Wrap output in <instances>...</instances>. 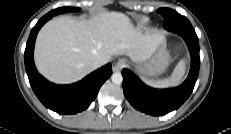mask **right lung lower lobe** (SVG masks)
<instances>
[{
  "instance_id": "obj_1",
  "label": "right lung lower lobe",
  "mask_w": 231,
  "mask_h": 134,
  "mask_svg": "<svg viewBox=\"0 0 231 134\" xmlns=\"http://www.w3.org/2000/svg\"><path fill=\"white\" fill-rule=\"evenodd\" d=\"M51 17L45 15L31 30L24 53L25 68L30 85L44 106L59 114H75L85 110L96 98L100 87L112 74L111 65L103 66L74 84L57 85L44 79L36 70L33 52L39 29Z\"/></svg>"
}]
</instances>
